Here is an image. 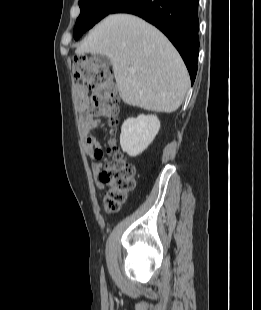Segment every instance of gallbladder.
<instances>
[{"label": "gallbladder", "mask_w": 261, "mask_h": 310, "mask_svg": "<svg viewBox=\"0 0 261 310\" xmlns=\"http://www.w3.org/2000/svg\"><path fill=\"white\" fill-rule=\"evenodd\" d=\"M92 59L102 67H109L111 65L110 58L102 54H94Z\"/></svg>", "instance_id": "bac80fb5"}]
</instances>
